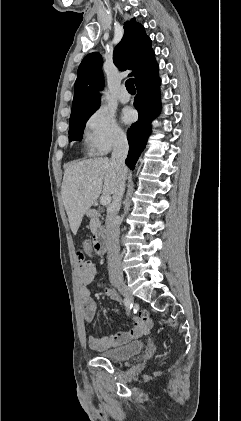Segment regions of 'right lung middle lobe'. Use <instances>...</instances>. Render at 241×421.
Here are the masks:
<instances>
[{
    "instance_id": "dd1d6c3e",
    "label": "right lung middle lobe",
    "mask_w": 241,
    "mask_h": 421,
    "mask_svg": "<svg viewBox=\"0 0 241 421\" xmlns=\"http://www.w3.org/2000/svg\"><path fill=\"white\" fill-rule=\"evenodd\" d=\"M92 114L70 119L69 141L81 140L85 124Z\"/></svg>"
}]
</instances>
